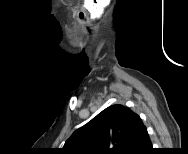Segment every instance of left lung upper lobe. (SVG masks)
Returning <instances> with one entry per match:
<instances>
[{"instance_id": "left-lung-upper-lobe-1", "label": "left lung upper lobe", "mask_w": 188, "mask_h": 154, "mask_svg": "<svg viewBox=\"0 0 188 154\" xmlns=\"http://www.w3.org/2000/svg\"><path fill=\"white\" fill-rule=\"evenodd\" d=\"M134 113L123 105H111L65 142L70 154H126L133 131Z\"/></svg>"}]
</instances>
